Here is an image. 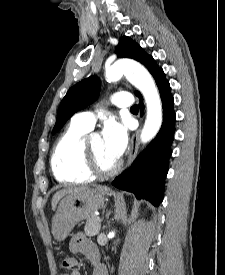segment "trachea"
Instances as JSON below:
<instances>
[{"label": "trachea", "mask_w": 225, "mask_h": 275, "mask_svg": "<svg viewBox=\"0 0 225 275\" xmlns=\"http://www.w3.org/2000/svg\"><path fill=\"white\" fill-rule=\"evenodd\" d=\"M131 109H138V106L134 105V106L131 107Z\"/></svg>", "instance_id": "1"}]
</instances>
